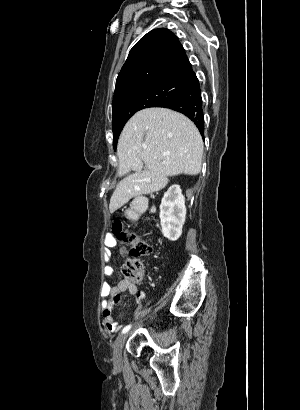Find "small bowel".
Masks as SVG:
<instances>
[{"instance_id": "c3829d8e", "label": "small bowel", "mask_w": 300, "mask_h": 410, "mask_svg": "<svg viewBox=\"0 0 300 410\" xmlns=\"http://www.w3.org/2000/svg\"><path fill=\"white\" fill-rule=\"evenodd\" d=\"M105 245L109 248L116 247L117 241L115 237L108 235L105 239ZM120 253L123 255L126 253V250L120 248ZM104 273L107 277L113 276L115 273L114 266L112 264L107 265L104 269ZM140 281V278H134L122 279L115 286H110L107 282L103 284L101 293L107 300L102 303V318L109 332H115L119 329V325L113 315V310L114 307L120 303L122 293L127 292L130 295L136 296V305H141L144 299V293L138 290L137 286Z\"/></svg>"}]
</instances>
